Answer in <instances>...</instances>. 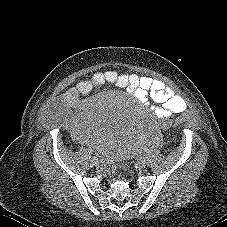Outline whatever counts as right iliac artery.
<instances>
[{
    "label": "right iliac artery",
    "instance_id": "1",
    "mask_svg": "<svg viewBox=\"0 0 227 227\" xmlns=\"http://www.w3.org/2000/svg\"><path fill=\"white\" fill-rule=\"evenodd\" d=\"M88 152L92 154V153H93V150H92V149H89ZM94 160H98L97 157L94 156V157H93V161H94Z\"/></svg>",
    "mask_w": 227,
    "mask_h": 227
}]
</instances>
